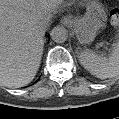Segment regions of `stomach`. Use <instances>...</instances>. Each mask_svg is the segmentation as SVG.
<instances>
[{
	"label": "stomach",
	"instance_id": "1",
	"mask_svg": "<svg viewBox=\"0 0 119 119\" xmlns=\"http://www.w3.org/2000/svg\"><path fill=\"white\" fill-rule=\"evenodd\" d=\"M86 13L82 18L72 21L76 38L81 44H90L94 41L98 31L107 21V13L99 0H83Z\"/></svg>",
	"mask_w": 119,
	"mask_h": 119
}]
</instances>
